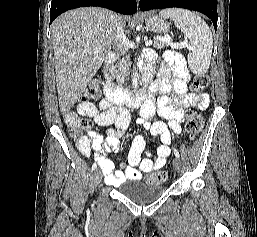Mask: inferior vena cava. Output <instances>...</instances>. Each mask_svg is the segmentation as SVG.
<instances>
[{"instance_id":"inferior-vena-cava-1","label":"inferior vena cava","mask_w":257,"mask_h":237,"mask_svg":"<svg viewBox=\"0 0 257 237\" xmlns=\"http://www.w3.org/2000/svg\"><path fill=\"white\" fill-rule=\"evenodd\" d=\"M111 25L114 30V42L113 49L117 51L119 54H125V42L126 35L124 33L123 25L119 21V19L115 15H111Z\"/></svg>"}]
</instances>
